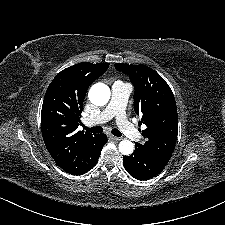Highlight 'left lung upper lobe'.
I'll return each instance as SVG.
<instances>
[{"instance_id":"5c2ea615","label":"left lung upper lobe","mask_w":225,"mask_h":225,"mask_svg":"<svg viewBox=\"0 0 225 225\" xmlns=\"http://www.w3.org/2000/svg\"><path fill=\"white\" fill-rule=\"evenodd\" d=\"M115 67L130 76L135 87V112L142 115L139 123L147 126L142 131L145 144H136L156 156L170 159L178 134L177 107L170 87L148 66L117 63Z\"/></svg>"}]
</instances>
